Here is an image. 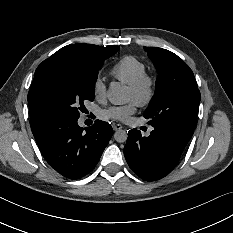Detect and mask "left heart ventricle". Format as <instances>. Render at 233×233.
<instances>
[{
    "instance_id": "b2bd125f",
    "label": "left heart ventricle",
    "mask_w": 233,
    "mask_h": 233,
    "mask_svg": "<svg viewBox=\"0 0 233 233\" xmlns=\"http://www.w3.org/2000/svg\"><path fill=\"white\" fill-rule=\"evenodd\" d=\"M128 93L130 98L136 99L138 101V98L134 95V93L131 90L128 89Z\"/></svg>"
}]
</instances>
